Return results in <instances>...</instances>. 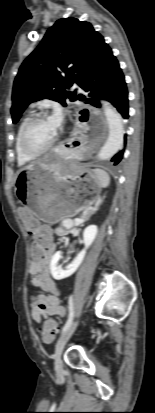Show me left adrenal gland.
Wrapping results in <instances>:
<instances>
[{"instance_id": "a2214340", "label": "left adrenal gland", "mask_w": 155, "mask_h": 413, "mask_svg": "<svg viewBox=\"0 0 155 413\" xmlns=\"http://www.w3.org/2000/svg\"><path fill=\"white\" fill-rule=\"evenodd\" d=\"M96 210H97V207L95 208V210L91 211L90 214H88V216L86 217V219L89 218V216H90L91 214H93Z\"/></svg>"}]
</instances>
